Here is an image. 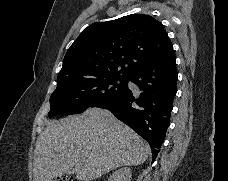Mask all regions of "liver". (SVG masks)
Segmentation results:
<instances>
[{
	"instance_id": "6515ba94",
	"label": "liver",
	"mask_w": 228,
	"mask_h": 181,
	"mask_svg": "<svg viewBox=\"0 0 228 181\" xmlns=\"http://www.w3.org/2000/svg\"><path fill=\"white\" fill-rule=\"evenodd\" d=\"M150 147L105 109L48 123L36 143L33 181H54L73 169L78 181H93L118 167L143 165Z\"/></svg>"
}]
</instances>
